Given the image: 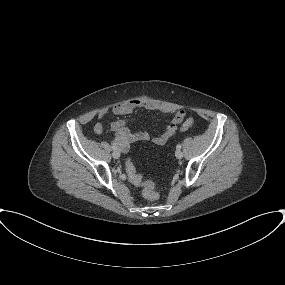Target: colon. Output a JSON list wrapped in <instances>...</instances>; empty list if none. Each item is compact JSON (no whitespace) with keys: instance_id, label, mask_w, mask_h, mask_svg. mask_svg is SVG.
Returning a JSON list of instances; mask_svg holds the SVG:
<instances>
[{"instance_id":"1","label":"colon","mask_w":285,"mask_h":285,"mask_svg":"<svg viewBox=\"0 0 285 285\" xmlns=\"http://www.w3.org/2000/svg\"><path fill=\"white\" fill-rule=\"evenodd\" d=\"M180 118L181 114H178L177 119L179 120ZM193 124V119H186L182 121L181 129L187 130L191 128ZM125 169L130 181L135 185L143 187V195L145 196V198H147L148 200H157L159 198V194L154 189V184L150 181L143 180L141 174L138 173L136 167L130 159L125 162Z\"/></svg>"}]
</instances>
